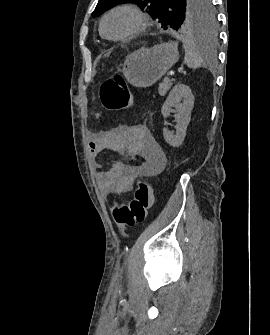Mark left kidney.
<instances>
[{
	"instance_id": "1",
	"label": "left kidney",
	"mask_w": 270,
	"mask_h": 335,
	"mask_svg": "<svg viewBox=\"0 0 270 335\" xmlns=\"http://www.w3.org/2000/svg\"><path fill=\"white\" fill-rule=\"evenodd\" d=\"M183 98V104H180ZM194 106V96L189 88L185 84H176L173 90H171L165 104L162 106V114L164 118L170 116V112H175V122H177L176 134L169 132L168 128H163L164 140L167 144L173 146V148H179L182 142L185 140L187 126L191 120V112ZM175 108V110H172Z\"/></svg>"
}]
</instances>
